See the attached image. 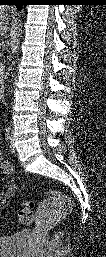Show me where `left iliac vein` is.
<instances>
[{"instance_id":"obj_1","label":"left iliac vein","mask_w":106,"mask_h":257,"mask_svg":"<svg viewBox=\"0 0 106 257\" xmlns=\"http://www.w3.org/2000/svg\"><path fill=\"white\" fill-rule=\"evenodd\" d=\"M10 148L13 152L15 151V146H14V142H13V138H12V133H11V139H10Z\"/></svg>"}]
</instances>
